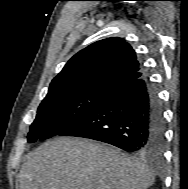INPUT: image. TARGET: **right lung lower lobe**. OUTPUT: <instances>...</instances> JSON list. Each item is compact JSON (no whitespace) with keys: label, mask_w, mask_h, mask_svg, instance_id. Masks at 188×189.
Returning a JSON list of instances; mask_svg holds the SVG:
<instances>
[{"label":"right lung lower lobe","mask_w":188,"mask_h":189,"mask_svg":"<svg viewBox=\"0 0 188 189\" xmlns=\"http://www.w3.org/2000/svg\"><path fill=\"white\" fill-rule=\"evenodd\" d=\"M58 135L98 140L130 152L159 153L164 119L157 92L144 75L111 91Z\"/></svg>","instance_id":"1"}]
</instances>
